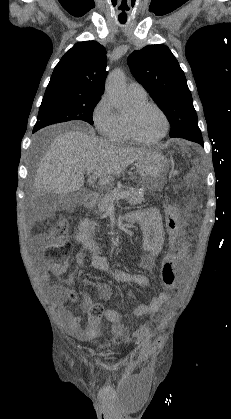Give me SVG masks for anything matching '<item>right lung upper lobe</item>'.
Listing matches in <instances>:
<instances>
[{
    "mask_svg": "<svg viewBox=\"0 0 231 419\" xmlns=\"http://www.w3.org/2000/svg\"><path fill=\"white\" fill-rule=\"evenodd\" d=\"M105 48L96 41L75 44L55 66L49 88H67L84 95L104 91L106 71Z\"/></svg>",
    "mask_w": 231,
    "mask_h": 419,
    "instance_id": "right-lung-upper-lobe-1",
    "label": "right lung upper lobe"
}]
</instances>
